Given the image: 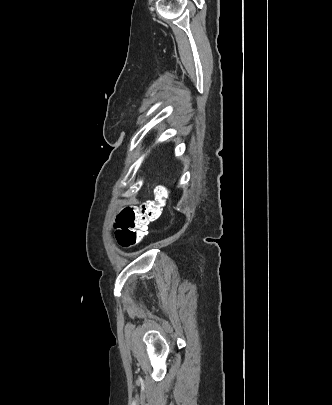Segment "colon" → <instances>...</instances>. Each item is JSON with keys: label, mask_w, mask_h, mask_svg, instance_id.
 I'll return each mask as SVG.
<instances>
[{"label": "colon", "mask_w": 332, "mask_h": 405, "mask_svg": "<svg viewBox=\"0 0 332 405\" xmlns=\"http://www.w3.org/2000/svg\"><path fill=\"white\" fill-rule=\"evenodd\" d=\"M167 192L159 186L154 200L144 202L139 207H126L120 215L121 245L132 247L140 243L147 234V226L156 220L161 212Z\"/></svg>", "instance_id": "1"}]
</instances>
